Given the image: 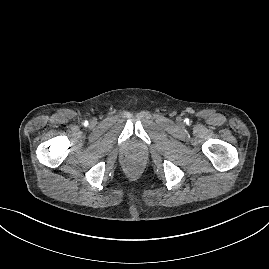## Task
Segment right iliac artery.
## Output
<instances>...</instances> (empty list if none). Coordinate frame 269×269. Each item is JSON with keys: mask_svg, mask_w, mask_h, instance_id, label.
<instances>
[{"mask_svg": "<svg viewBox=\"0 0 269 269\" xmlns=\"http://www.w3.org/2000/svg\"><path fill=\"white\" fill-rule=\"evenodd\" d=\"M84 124H85V125H87V124H88V122H87V121H85V122H84Z\"/></svg>", "mask_w": 269, "mask_h": 269, "instance_id": "82829eb1", "label": "right iliac artery"}]
</instances>
